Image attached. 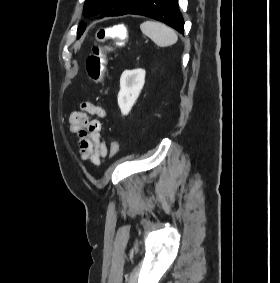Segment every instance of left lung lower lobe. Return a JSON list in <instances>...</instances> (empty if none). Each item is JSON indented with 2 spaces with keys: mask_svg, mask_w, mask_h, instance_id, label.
<instances>
[{
  "mask_svg": "<svg viewBox=\"0 0 280 283\" xmlns=\"http://www.w3.org/2000/svg\"><path fill=\"white\" fill-rule=\"evenodd\" d=\"M128 14L147 16L164 22L179 33L184 32V19L177 0H144Z\"/></svg>",
  "mask_w": 280,
  "mask_h": 283,
  "instance_id": "obj_1",
  "label": "left lung lower lobe"
}]
</instances>
